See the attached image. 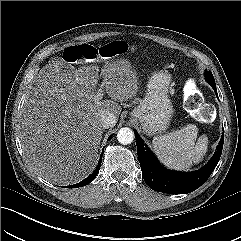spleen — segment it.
I'll use <instances>...</instances> for the list:
<instances>
[{
    "label": "spleen",
    "mask_w": 241,
    "mask_h": 241,
    "mask_svg": "<svg viewBox=\"0 0 241 241\" xmlns=\"http://www.w3.org/2000/svg\"><path fill=\"white\" fill-rule=\"evenodd\" d=\"M197 133V127L189 124L169 134L155 137L154 152L165 166L186 171L193 164L201 162L207 152L208 138L202 135L197 139Z\"/></svg>",
    "instance_id": "3e777b00"
}]
</instances>
